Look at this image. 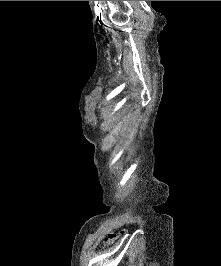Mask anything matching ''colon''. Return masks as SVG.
I'll return each instance as SVG.
<instances>
[{
	"label": "colon",
	"instance_id": "1",
	"mask_svg": "<svg viewBox=\"0 0 221 266\" xmlns=\"http://www.w3.org/2000/svg\"><path fill=\"white\" fill-rule=\"evenodd\" d=\"M117 237V234H109L106 238V242L110 243Z\"/></svg>",
	"mask_w": 221,
	"mask_h": 266
}]
</instances>
